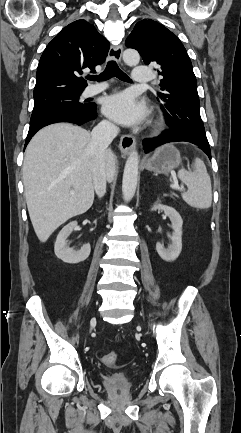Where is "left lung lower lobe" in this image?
Wrapping results in <instances>:
<instances>
[{
	"label": "left lung lower lobe",
	"mask_w": 241,
	"mask_h": 433,
	"mask_svg": "<svg viewBox=\"0 0 241 433\" xmlns=\"http://www.w3.org/2000/svg\"><path fill=\"white\" fill-rule=\"evenodd\" d=\"M179 141L190 142L192 144L199 146L202 150L206 152L209 159H211V151L208 142L203 141L187 132L181 130H175V129H169L157 137L145 139L144 150L145 152H149L154 148L163 145L165 143L179 142Z\"/></svg>",
	"instance_id": "obj_1"
}]
</instances>
